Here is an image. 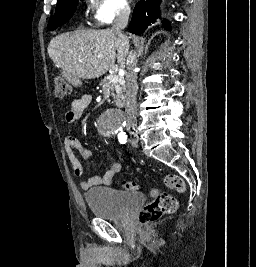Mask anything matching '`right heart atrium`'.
<instances>
[{
	"instance_id": "right-heart-atrium-1",
	"label": "right heart atrium",
	"mask_w": 256,
	"mask_h": 267,
	"mask_svg": "<svg viewBox=\"0 0 256 267\" xmlns=\"http://www.w3.org/2000/svg\"><path fill=\"white\" fill-rule=\"evenodd\" d=\"M117 16L115 17H108L105 15H102L100 12L96 13L94 16L95 23L98 27H103V25H111Z\"/></svg>"
}]
</instances>
